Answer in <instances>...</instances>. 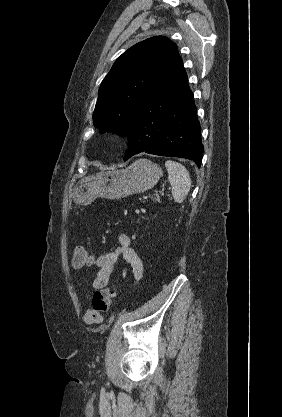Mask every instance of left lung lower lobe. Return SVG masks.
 Listing matches in <instances>:
<instances>
[{"mask_svg":"<svg viewBox=\"0 0 282 417\" xmlns=\"http://www.w3.org/2000/svg\"><path fill=\"white\" fill-rule=\"evenodd\" d=\"M126 136L124 160L146 152L191 159L200 167L201 127L181 59L135 111Z\"/></svg>","mask_w":282,"mask_h":417,"instance_id":"left-lung-lower-lobe-1","label":"left lung lower lobe"}]
</instances>
